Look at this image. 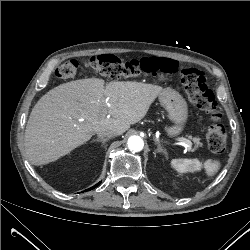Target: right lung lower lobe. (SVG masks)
Instances as JSON below:
<instances>
[{"instance_id":"right-lung-lower-lobe-1","label":"right lung lower lobe","mask_w":250,"mask_h":250,"mask_svg":"<svg viewBox=\"0 0 250 250\" xmlns=\"http://www.w3.org/2000/svg\"><path fill=\"white\" fill-rule=\"evenodd\" d=\"M98 185H99V183H98V184H96L95 186H93V187H92V189H93V188H95V187H97ZM90 189H91V188H90ZM90 189H89V190H90Z\"/></svg>"}]
</instances>
